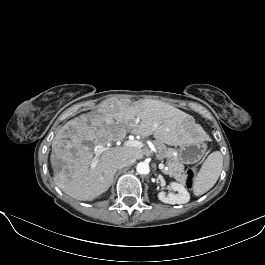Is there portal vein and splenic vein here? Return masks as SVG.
Segmentation results:
<instances>
[{
  "label": "portal vein and splenic vein",
  "instance_id": "18ae733b",
  "mask_svg": "<svg viewBox=\"0 0 265 265\" xmlns=\"http://www.w3.org/2000/svg\"><path fill=\"white\" fill-rule=\"evenodd\" d=\"M124 146L142 148L144 146V144L141 141H139V140H136L134 138H130L129 140L124 142ZM106 149H108V147H104V146H97L94 149L96 155H95V159H94L93 163L91 164V168H94L96 166L97 161H98V157ZM158 167H159L160 170H163V169L166 168L163 163H160Z\"/></svg>",
  "mask_w": 265,
  "mask_h": 265
}]
</instances>
